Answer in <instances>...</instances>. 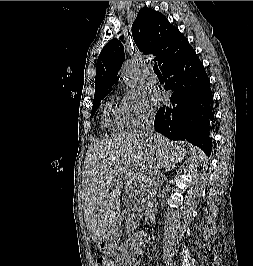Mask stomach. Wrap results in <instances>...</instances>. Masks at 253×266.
Here are the masks:
<instances>
[{"label":"stomach","instance_id":"0dacf381","mask_svg":"<svg viewBox=\"0 0 253 266\" xmlns=\"http://www.w3.org/2000/svg\"><path fill=\"white\" fill-rule=\"evenodd\" d=\"M116 246V242L114 241L112 235L105 234L99 241H98V248L100 251L104 253H110L114 250Z\"/></svg>","mask_w":253,"mask_h":266}]
</instances>
